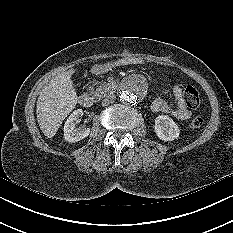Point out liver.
Segmentation results:
<instances>
[{
	"mask_svg": "<svg viewBox=\"0 0 233 233\" xmlns=\"http://www.w3.org/2000/svg\"><path fill=\"white\" fill-rule=\"evenodd\" d=\"M74 72V69H69L50 80L38 97L37 121L48 138L56 134L63 120L77 104L78 97L71 80Z\"/></svg>",
	"mask_w": 233,
	"mask_h": 233,
	"instance_id": "1",
	"label": "liver"
}]
</instances>
